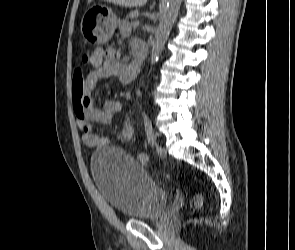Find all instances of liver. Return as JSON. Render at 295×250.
Segmentation results:
<instances>
[{"instance_id": "liver-1", "label": "liver", "mask_w": 295, "mask_h": 250, "mask_svg": "<svg viewBox=\"0 0 295 250\" xmlns=\"http://www.w3.org/2000/svg\"><path fill=\"white\" fill-rule=\"evenodd\" d=\"M106 2L113 3L122 7H141L147 3L148 0H105Z\"/></svg>"}]
</instances>
